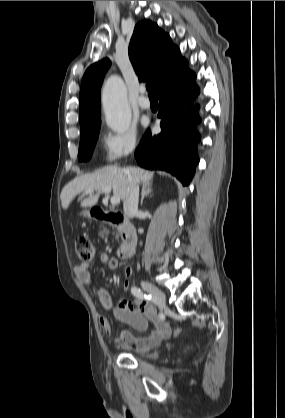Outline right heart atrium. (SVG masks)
Masks as SVG:
<instances>
[{
  "mask_svg": "<svg viewBox=\"0 0 285 418\" xmlns=\"http://www.w3.org/2000/svg\"><path fill=\"white\" fill-rule=\"evenodd\" d=\"M137 145L138 134L134 127L120 133L107 132L103 138L106 162L113 163L132 154Z\"/></svg>",
  "mask_w": 285,
  "mask_h": 418,
  "instance_id": "right-heart-atrium-1",
  "label": "right heart atrium"
}]
</instances>
